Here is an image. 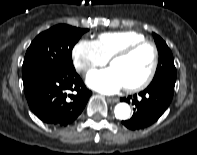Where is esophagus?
Here are the masks:
<instances>
[{
    "instance_id": "obj_1",
    "label": "esophagus",
    "mask_w": 197,
    "mask_h": 155,
    "mask_svg": "<svg viewBox=\"0 0 197 155\" xmlns=\"http://www.w3.org/2000/svg\"><path fill=\"white\" fill-rule=\"evenodd\" d=\"M106 99H107V101L112 102V103H116L119 101L118 98L107 97Z\"/></svg>"
}]
</instances>
